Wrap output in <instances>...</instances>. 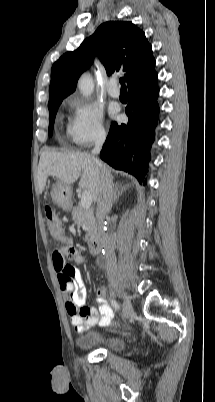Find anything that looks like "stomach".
<instances>
[{
    "label": "stomach",
    "instance_id": "0dacf381",
    "mask_svg": "<svg viewBox=\"0 0 215 402\" xmlns=\"http://www.w3.org/2000/svg\"><path fill=\"white\" fill-rule=\"evenodd\" d=\"M71 195L72 190L70 185H66L58 181L52 187L51 197L53 202L65 211H69L71 209Z\"/></svg>",
    "mask_w": 215,
    "mask_h": 402
}]
</instances>
